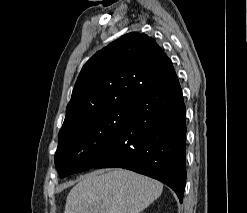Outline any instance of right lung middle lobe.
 Listing matches in <instances>:
<instances>
[{
    "label": "right lung middle lobe",
    "instance_id": "1",
    "mask_svg": "<svg viewBox=\"0 0 247 213\" xmlns=\"http://www.w3.org/2000/svg\"><path fill=\"white\" fill-rule=\"evenodd\" d=\"M132 111L130 100L121 101L59 135L55 165L59 176L89 170L120 130Z\"/></svg>",
    "mask_w": 247,
    "mask_h": 213
}]
</instances>
